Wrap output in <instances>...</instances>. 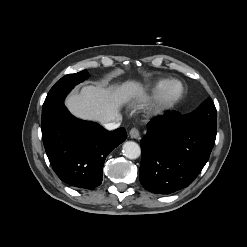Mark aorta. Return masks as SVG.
<instances>
[{
  "instance_id": "762f6f07",
  "label": "aorta",
  "mask_w": 247,
  "mask_h": 247,
  "mask_svg": "<svg viewBox=\"0 0 247 247\" xmlns=\"http://www.w3.org/2000/svg\"><path fill=\"white\" fill-rule=\"evenodd\" d=\"M123 155L128 159H137L141 155L140 146L134 141H127L122 147Z\"/></svg>"
}]
</instances>
